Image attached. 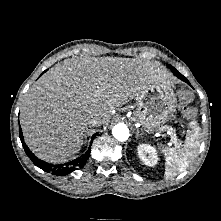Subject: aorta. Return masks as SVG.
<instances>
[{"label": "aorta", "mask_w": 221, "mask_h": 221, "mask_svg": "<svg viewBox=\"0 0 221 221\" xmlns=\"http://www.w3.org/2000/svg\"><path fill=\"white\" fill-rule=\"evenodd\" d=\"M112 134L118 141H126L129 138V129L125 124L119 123L113 127Z\"/></svg>", "instance_id": "762f6f07"}]
</instances>
